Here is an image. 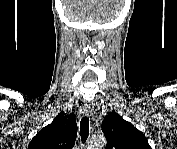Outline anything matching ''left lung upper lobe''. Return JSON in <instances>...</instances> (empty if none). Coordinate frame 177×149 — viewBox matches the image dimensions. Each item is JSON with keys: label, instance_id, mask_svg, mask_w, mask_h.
<instances>
[{"label": "left lung upper lobe", "instance_id": "5c2ea615", "mask_svg": "<svg viewBox=\"0 0 177 149\" xmlns=\"http://www.w3.org/2000/svg\"><path fill=\"white\" fill-rule=\"evenodd\" d=\"M106 149H151L144 134L118 113L110 112L102 123Z\"/></svg>", "mask_w": 177, "mask_h": 149}]
</instances>
